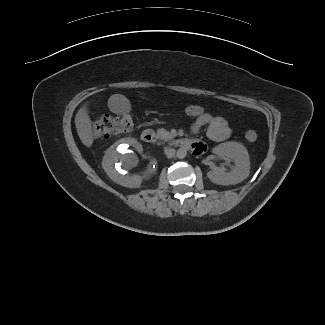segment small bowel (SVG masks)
<instances>
[{"mask_svg":"<svg viewBox=\"0 0 325 325\" xmlns=\"http://www.w3.org/2000/svg\"><path fill=\"white\" fill-rule=\"evenodd\" d=\"M204 127H206L208 138L215 141H223L231 134V129L228 126L227 121L221 115L210 114V116L201 119L194 118L191 125V131L193 134H197ZM190 148L193 154L198 155L205 151L206 145L202 142H197L193 143Z\"/></svg>","mask_w":325,"mask_h":325,"instance_id":"small-bowel-1","label":"small bowel"}]
</instances>
